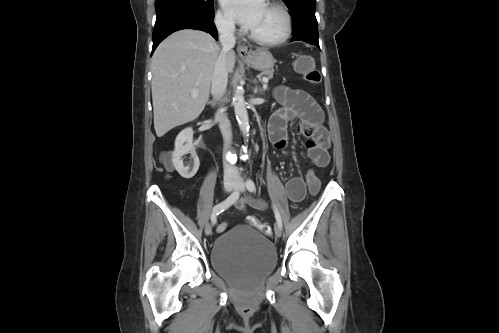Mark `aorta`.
Instances as JSON below:
<instances>
[{
  "instance_id": "aorta-1",
  "label": "aorta",
  "mask_w": 499,
  "mask_h": 333,
  "mask_svg": "<svg viewBox=\"0 0 499 333\" xmlns=\"http://www.w3.org/2000/svg\"><path fill=\"white\" fill-rule=\"evenodd\" d=\"M233 105L236 119L238 121L240 130L244 136H248L249 131V118L246 108V102L244 99V91L237 87L233 96Z\"/></svg>"
}]
</instances>
